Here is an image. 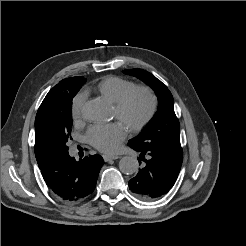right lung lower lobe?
Returning a JSON list of instances; mask_svg holds the SVG:
<instances>
[{"label":"right lung lower lobe","instance_id":"98d812e1","mask_svg":"<svg viewBox=\"0 0 246 246\" xmlns=\"http://www.w3.org/2000/svg\"><path fill=\"white\" fill-rule=\"evenodd\" d=\"M104 161L98 154L80 161L69 154L54 157L43 169L42 176L50 190L62 201L76 203L95 189Z\"/></svg>","mask_w":246,"mask_h":246}]
</instances>
